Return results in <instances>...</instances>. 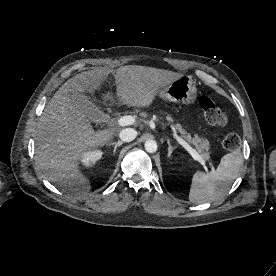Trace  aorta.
<instances>
[{
  "label": "aorta",
  "mask_w": 276,
  "mask_h": 276,
  "mask_svg": "<svg viewBox=\"0 0 276 276\" xmlns=\"http://www.w3.org/2000/svg\"><path fill=\"white\" fill-rule=\"evenodd\" d=\"M145 150L148 153H155L157 151V143L154 140H147L144 144Z\"/></svg>",
  "instance_id": "obj_1"
}]
</instances>
